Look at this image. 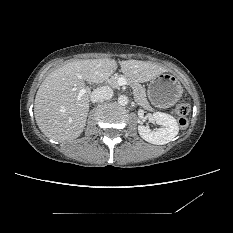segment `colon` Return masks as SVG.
I'll use <instances>...</instances> for the list:
<instances>
[{
  "instance_id": "5ec220e1",
  "label": "colon",
  "mask_w": 233,
  "mask_h": 233,
  "mask_svg": "<svg viewBox=\"0 0 233 233\" xmlns=\"http://www.w3.org/2000/svg\"><path fill=\"white\" fill-rule=\"evenodd\" d=\"M190 112V106L187 103H178L175 107V114L179 127L186 128L188 125V114Z\"/></svg>"
}]
</instances>
